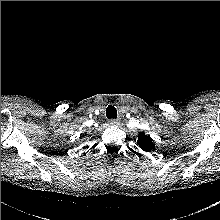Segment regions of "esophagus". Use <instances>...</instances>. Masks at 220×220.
I'll return each instance as SVG.
<instances>
[{
    "instance_id": "esophagus-1",
    "label": "esophagus",
    "mask_w": 220,
    "mask_h": 220,
    "mask_svg": "<svg viewBox=\"0 0 220 220\" xmlns=\"http://www.w3.org/2000/svg\"><path fill=\"white\" fill-rule=\"evenodd\" d=\"M108 123L111 126H118V125H120V120H118V119H111V120L108 121Z\"/></svg>"
}]
</instances>
